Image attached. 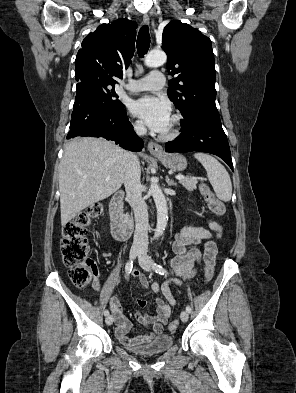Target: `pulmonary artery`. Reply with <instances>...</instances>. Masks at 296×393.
<instances>
[{"mask_svg": "<svg viewBox=\"0 0 296 393\" xmlns=\"http://www.w3.org/2000/svg\"><path fill=\"white\" fill-rule=\"evenodd\" d=\"M164 84L165 77L161 72H151L141 79L131 80L126 89L131 93L141 91H158L164 86Z\"/></svg>", "mask_w": 296, "mask_h": 393, "instance_id": "1", "label": "pulmonary artery"}]
</instances>
